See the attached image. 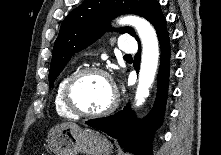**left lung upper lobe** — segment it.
I'll use <instances>...</instances> for the list:
<instances>
[{
    "instance_id": "left-lung-upper-lobe-1",
    "label": "left lung upper lobe",
    "mask_w": 221,
    "mask_h": 155,
    "mask_svg": "<svg viewBox=\"0 0 221 155\" xmlns=\"http://www.w3.org/2000/svg\"><path fill=\"white\" fill-rule=\"evenodd\" d=\"M158 5L159 2L156 0H84L67 15L61 24L50 65V88L71 56L92 44L108 30L112 18L131 13L148 20L151 12ZM120 32L138 37L131 27H123Z\"/></svg>"
}]
</instances>
